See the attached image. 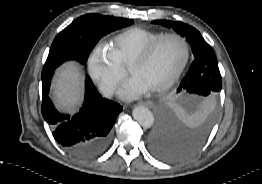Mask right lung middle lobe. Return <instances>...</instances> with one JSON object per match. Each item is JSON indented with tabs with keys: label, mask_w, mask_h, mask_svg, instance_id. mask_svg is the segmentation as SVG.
<instances>
[{
	"label": "right lung middle lobe",
	"mask_w": 262,
	"mask_h": 184,
	"mask_svg": "<svg viewBox=\"0 0 262 184\" xmlns=\"http://www.w3.org/2000/svg\"><path fill=\"white\" fill-rule=\"evenodd\" d=\"M132 23V19L97 14L77 18L54 39L42 73L54 71L67 60H77L84 64L102 36Z\"/></svg>",
	"instance_id": "dd1d6c3e"
}]
</instances>
